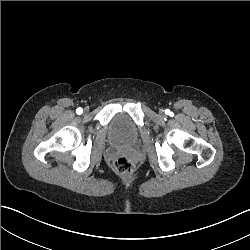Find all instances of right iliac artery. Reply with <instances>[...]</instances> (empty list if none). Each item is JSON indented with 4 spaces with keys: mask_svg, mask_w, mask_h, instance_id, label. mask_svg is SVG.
Here are the masks:
<instances>
[{
    "mask_svg": "<svg viewBox=\"0 0 250 250\" xmlns=\"http://www.w3.org/2000/svg\"><path fill=\"white\" fill-rule=\"evenodd\" d=\"M76 113L81 115L83 113V109L81 107L77 108Z\"/></svg>",
    "mask_w": 250,
    "mask_h": 250,
    "instance_id": "right-iliac-artery-1",
    "label": "right iliac artery"
}]
</instances>
